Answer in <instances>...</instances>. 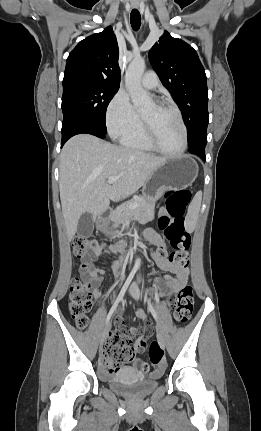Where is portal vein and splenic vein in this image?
I'll return each mask as SVG.
<instances>
[{
    "label": "portal vein and splenic vein",
    "instance_id": "18ae733b",
    "mask_svg": "<svg viewBox=\"0 0 261 431\" xmlns=\"http://www.w3.org/2000/svg\"><path fill=\"white\" fill-rule=\"evenodd\" d=\"M117 179H118V177H116V176H110L109 178H108V183L109 184H114L116 181H117ZM138 205L137 204H132V205H130L129 207L130 208H135V207H137Z\"/></svg>",
    "mask_w": 261,
    "mask_h": 431
}]
</instances>
